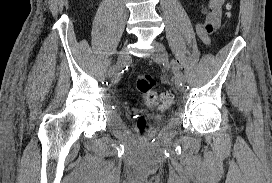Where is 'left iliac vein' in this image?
Listing matches in <instances>:
<instances>
[{
    "mask_svg": "<svg viewBox=\"0 0 272 183\" xmlns=\"http://www.w3.org/2000/svg\"><path fill=\"white\" fill-rule=\"evenodd\" d=\"M153 46H154V50L152 54V59L157 63H162L163 65L169 66L168 54H167L165 46L158 41H154ZM179 83L180 82L176 80L177 89L181 92L185 91V87L180 86Z\"/></svg>",
    "mask_w": 272,
    "mask_h": 183,
    "instance_id": "4c4485c4",
    "label": "left iliac vein"
}]
</instances>
